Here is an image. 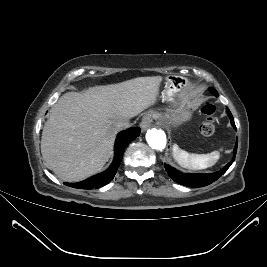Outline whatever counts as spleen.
Listing matches in <instances>:
<instances>
[{"label": "spleen", "mask_w": 267, "mask_h": 267, "mask_svg": "<svg viewBox=\"0 0 267 267\" xmlns=\"http://www.w3.org/2000/svg\"><path fill=\"white\" fill-rule=\"evenodd\" d=\"M222 150V149H221ZM173 158L183 168L189 170H202L213 166L220 158L219 151L208 154H190L178 145H173Z\"/></svg>", "instance_id": "1"}]
</instances>
